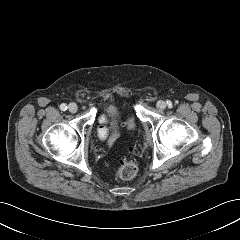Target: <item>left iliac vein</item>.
Here are the masks:
<instances>
[{
    "instance_id": "1",
    "label": "left iliac vein",
    "mask_w": 240,
    "mask_h": 240,
    "mask_svg": "<svg viewBox=\"0 0 240 240\" xmlns=\"http://www.w3.org/2000/svg\"><path fill=\"white\" fill-rule=\"evenodd\" d=\"M157 108L160 110H164L166 108V103L162 100L158 101L156 104Z\"/></svg>"
}]
</instances>
